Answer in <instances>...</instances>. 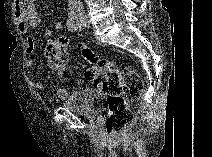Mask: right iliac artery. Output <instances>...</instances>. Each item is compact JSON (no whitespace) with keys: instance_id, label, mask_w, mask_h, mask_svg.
I'll list each match as a JSON object with an SVG mask.
<instances>
[{"instance_id":"obj_1","label":"right iliac artery","mask_w":212,"mask_h":157,"mask_svg":"<svg viewBox=\"0 0 212 157\" xmlns=\"http://www.w3.org/2000/svg\"><path fill=\"white\" fill-rule=\"evenodd\" d=\"M77 21H76V17L74 15L69 16L68 21H67V26L68 29L72 32L77 30Z\"/></svg>"}]
</instances>
